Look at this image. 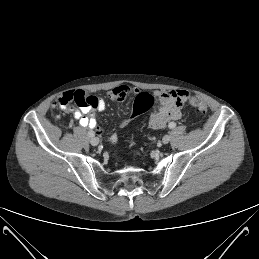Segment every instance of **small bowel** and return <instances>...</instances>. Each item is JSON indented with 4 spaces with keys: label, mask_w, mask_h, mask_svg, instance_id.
<instances>
[{
    "label": "small bowel",
    "mask_w": 259,
    "mask_h": 259,
    "mask_svg": "<svg viewBox=\"0 0 259 259\" xmlns=\"http://www.w3.org/2000/svg\"><path fill=\"white\" fill-rule=\"evenodd\" d=\"M136 88L127 85H119L114 87L108 94L109 98L122 102L131 93H137ZM159 99V108L154 111L148 120V126L151 129H163L171 121L178 120L181 117V109L188 97L185 90H170L157 92ZM74 102L77 107H70L69 111L73 113L76 120L83 127L96 129L98 134H102V129L97 127V121L93 115L94 111H104L106 101L95 96H86L82 90L74 92H66L59 96L57 102L61 108L66 109L70 103ZM116 136L112 137L115 140Z\"/></svg>",
    "instance_id": "obj_1"
}]
</instances>
